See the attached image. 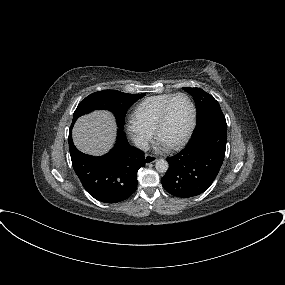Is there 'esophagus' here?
<instances>
[{"mask_svg":"<svg viewBox=\"0 0 285 285\" xmlns=\"http://www.w3.org/2000/svg\"><path fill=\"white\" fill-rule=\"evenodd\" d=\"M155 161H157V157L156 156L148 155V154L145 155L144 162H145L146 165L154 163Z\"/></svg>","mask_w":285,"mask_h":285,"instance_id":"1","label":"esophagus"}]
</instances>
